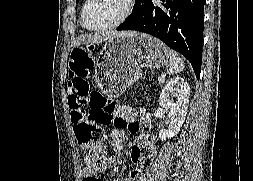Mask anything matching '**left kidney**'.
I'll return each instance as SVG.
<instances>
[{
    "instance_id": "1",
    "label": "left kidney",
    "mask_w": 253,
    "mask_h": 181,
    "mask_svg": "<svg viewBox=\"0 0 253 181\" xmlns=\"http://www.w3.org/2000/svg\"><path fill=\"white\" fill-rule=\"evenodd\" d=\"M190 87L182 77L171 79L163 88L159 104L165 110H170V124L168 129H161V141L177 135L185 121L189 103Z\"/></svg>"
}]
</instances>
